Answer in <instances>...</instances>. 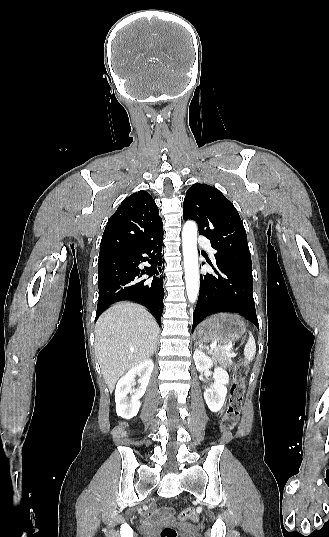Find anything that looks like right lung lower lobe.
<instances>
[{"label": "right lung lower lobe", "instance_id": "right-lung-lower-lobe-1", "mask_svg": "<svg viewBox=\"0 0 329 537\" xmlns=\"http://www.w3.org/2000/svg\"><path fill=\"white\" fill-rule=\"evenodd\" d=\"M162 239L163 234H160L130 251L99 257V298L95 320L111 304L134 300L149 307L161 324L164 298ZM142 262L151 266L141 269L139 264Z\"/></svg>", "mask_w": 329, "mask_h": 537}]
</instances>
